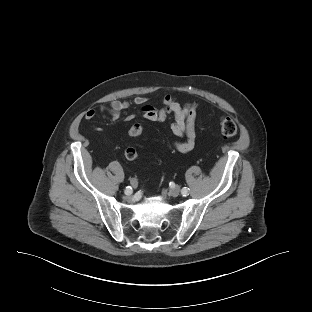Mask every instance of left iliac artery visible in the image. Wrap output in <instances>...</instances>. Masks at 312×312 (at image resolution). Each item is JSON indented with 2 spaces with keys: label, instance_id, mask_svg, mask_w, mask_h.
I'll return each instance as SVG.
<instances>
[{
  "label": "left iliac artery",
  "instance_id": "left-iliac-artery-1",
  "mask_svg": "<svg viewBox=\"0 0 312 312\" xmlns=\"http://www.w3.org/2000/svg\"><path fill=\"white\" fill-rule=\"evenodd\" d=\"M188 192H189V188H187V187H184V188L181 190V193H182L183 196L188 195Z\"/></svg>",
  "mask_w": 312,
  "mask_h": 312
}]
</instances>
